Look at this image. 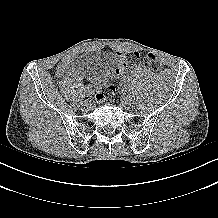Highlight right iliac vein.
Segmentation results:
<instances>
[{
  "mask_svg": "<svg viewBox=\"0 0 218 218\" xmlns=\"http://www.w3.org/2000/svg\"><path fill=\"white\" fill-rule=\"evenodd\" d=\"M84 103L82 104V109L84 110V111H88L90 108H91V106H92V103H91V101H87L85 98L82 100Z\"/></svg>",
  "mask_w": 218,
  "mask_h": 218,
  "instance_id": "1",
  "label": "right iliac vein"
}]
</instances>
